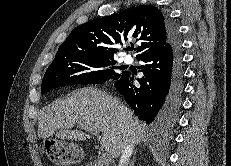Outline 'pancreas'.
Listing matches in <instances>:
<instances>
[{"mask_svg": "<svg viewBox=\"0 0 231 166\" xmlns=\"http://www.w3.org/2000/svg\"><path fill=\"white\" fill-rule=\"evenodd\" d=\"M86 166H106V165L101 161V158H98L94 162L88 163Z\"/></svg>", "mask_w": 231, "mask_h": 166, "instance_id": "pancreas-1", "label": "pancreas"}]
</instances>
